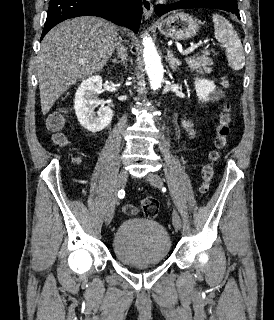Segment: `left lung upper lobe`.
I'll use <instances>...</instances> for the list:
<instances>
[{"mask_svg":"<svg viewBox=\"0 0 274 320\" xmlns=\"http://www.w3.org/2000/svg\"><path fill=\"white\" fill-rule=\"evenodd\" d=\"M227 1H229L231 3H237V0H227Z\"/></svg>","mask_w":274,"mask_h":320,"instance_id":"left-lung-upper-lobe-1","label":"left lung upper lobe"}]
</instances>
